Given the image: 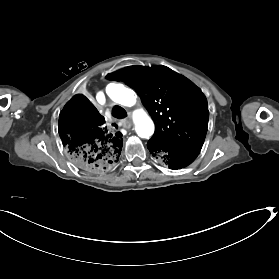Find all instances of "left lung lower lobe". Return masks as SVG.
<instances>
[{"label": "left lung lower lobe", "instance_id": "0a47b994", "mask_svg": "<svg viewBox=\"0 0 279 279\" xmlns=\"http://www.w3.org/2000/svg\"><path fill=\"white\" fill-rule=\"evenodd\" d=\"M147 147L153 156L159 157L170 169H180L188 166L200 152L196 148L159 145L150 141H148Z\"/></svg>", "mask_w": 279, "mask_h": 279}]
</instances>
